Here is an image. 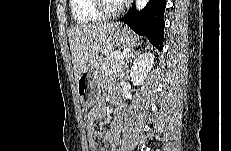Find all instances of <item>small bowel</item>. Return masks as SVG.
<instances>
[{"mask_svg": "<svg viewBox=\"0 0 231 151\" xmlns=\"http://www.w3.org/2000/svg\"><path fill=\"white\" fill-rule=\"evenodd\" d=\"M109 89L115 94L114 89ZM118 104L119 107L117 109L116 117L108 130H98L95 126L96 121L104 118L105 116V107L102 103H99L88 114L86 119V129L88 131V143L90 151L98 150V143L95 139L96 137H101L109 144L108 147L102 151H117L121 130V115L123 111L121 103L119 102Z\"/></svg>", "mask_w": 231, "mask_h": 151, "instance_id": "c3829d8e", "label": "small bowel"}]
</instances>
